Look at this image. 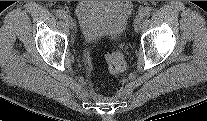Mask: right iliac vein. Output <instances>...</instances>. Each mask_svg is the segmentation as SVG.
<instances>
[{
  "label": "right iliac vein",
  "mask_w": 207,
  "mask_h": 121,
  "mask_svg": "<svg viewBox=\"0 0 207 121\" xmlns=\"http://www.w3.org/2000/svg\"><path fill=\"white\" fill-rule=\"evenodd\" d=\"M64 21L66 22V24L70 27L73 28L74 27V21L72 19V17L70 15H66L64 17Z\"/></svg>",
  "instance_id": "1"
}]
</instances>
